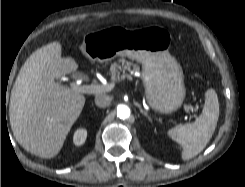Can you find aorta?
I'll use <instances>...</instances> for the list:
<instances>
[{
  "label": "aorta",
  "instance_id": "aorta-1",
  "mask_svg": "<svg viewBox=\"0 0 245 187\" xmlns=\"http://www.w3.org/2000/svg\"><path fill=\"white\" fill-rule=\"evenodd\" d=\"M117 116L120 119H126L130 116V108L126 105H119L117 107Z\"/></svg>",
  "mask_w": 245,
  "mask_h": 187
}]
</instances>
